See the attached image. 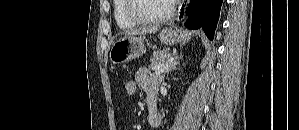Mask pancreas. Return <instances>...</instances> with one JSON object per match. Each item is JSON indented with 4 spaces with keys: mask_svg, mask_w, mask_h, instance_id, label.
Segmentation results:
<instances>
[{
    "mask_svg": "<svg viewBox=\"0 0 299 130\" xmlns=\"http://www.w3.org/2000/svg\"><path fill=\"white\" fill-rule=\"evenodd\" d=\"M169 49H164L162 51H154L152 54V58L150 60V68L152 70H156L157 68L166 64L169 58ZM159 78V77H156Z\"/></svg>",
    "mask_w": 299,
    "mask_h": 130,
    "instance_id": "pancreas-1",
    "label": "pancreas"
}]
</instances>
